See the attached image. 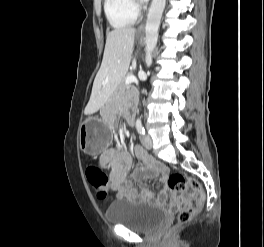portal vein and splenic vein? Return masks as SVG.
<instances>
[{
	"instance_id": "portal-vein-and-splenic-vein-1",
	"label": "portal vein and splenic vein",
	"mask_w": 264,
	"mask_h": 247,
	"mask_svg": "<svg viewBox=\"0 0 264 247\" xmlns=\"http://www.w3.org/2000/svg\"><path fill=\"white\" fill-rule=\"evenodd\" d=\"M137 79L135 78V76L131 75V76H128L126 79H125V84H130V83H133V82H136Z\"/></svg>"
}]
</instances>
